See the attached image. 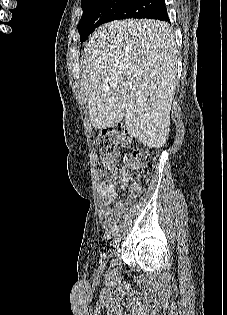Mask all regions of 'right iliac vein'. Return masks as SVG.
<instances>
[{"label": "right iliac vein", "instance_id": "right-iliac-vein-1", "mask_svg": "<svg viewBox=\"0 0 227 315\" xmlns=\"http://www.w3.org/2000/svg\"><path fill=\"white\" fill-rule=\"evenodd\" d=\"M119 243V236L117 235L115 238H114V244H118Z\"/></svg>", "mask_w": 227, "mask_h": 315}]
</instances>
